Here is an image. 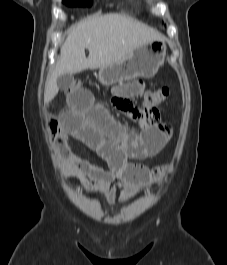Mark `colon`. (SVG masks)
I'll list each match as a JSON object with an SVG mask.
<instances>
[{"label": "colon", "mask_w": 227, "mask_h": 265, "mask_svg": "<svg viewBox=\"0 0 227 265\" xmlns=\"http://www.w3.org/2000/svg\"><path fill=\"white\" fill-rule=\"evenodd\" d=\"M70 87H82L80 83H73ZM169 88L167 86H162L154 91H149L145 94L143 103L141 106V112H126L133 119L141 123L143 126L151 127L158 125L160 122V113L158 110V106L162 104L169 96ZM67 94V90H66ZM113 99H127L122 95H115ZM60 127L61 122L56 118H51L49 120V129L54 137V139L58 142L60 140ZM163 169L161 167L154 168L151 173L154 177L160 176Z\"/></svg>", "instance_id": "obj_1"}]
</instances>
